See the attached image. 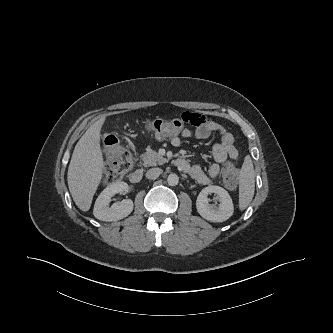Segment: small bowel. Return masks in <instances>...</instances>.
Listing matches in <instances>:
<instances>
[{
    "label": "small bowel",
    "mask_w": 333,
    "mask_h": 333,
    "mask_svg": "<svg viewBox=\"0 0 333 333\" xmlns=\"http://www.w3.org/2000/svg\"><path fill=\"white\" fill-rule=\"evenodd\" d=\"M181 117L191 123L200 121V124L197 125L194 131L184 128L179 136L173 137L171 139V144L174 147L180 146L181 137L207 139L213 133H218L220 136V142L216 143L212 148L214 162L210 165L207 171L199 165H190L188 162L186 167H180L198 183L209 184L219 176L222 165L227 161V159L238 161L239 153L234 144V137L225 129L223 125L216 123L211 119H205L193 113H184Z\"/></svg>",
    "instance_id": "1"
}]
</instances>
